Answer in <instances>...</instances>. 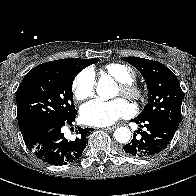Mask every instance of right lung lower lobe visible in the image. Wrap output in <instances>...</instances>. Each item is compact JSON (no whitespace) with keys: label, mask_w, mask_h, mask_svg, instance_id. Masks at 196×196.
Instances as JSON below:
<instances>
[{"label":"right lung lower lobe","mask_w":196,"mask_h":196,"mask_svg":"<svg viewBox=\"0 0 196 196\" xmlns=\"http://www.w3.org/2000/svg\"><path fill=\"white\" fill-rule=\"evenodd\" d=\"M75 115L67 120L38 122L21 130L27 148L43 162L55 166L77 160L86 148V136L93 129L78 127L75 140L65 139L61 128L75 121Z\"/></svg>","instance_id":"98d812e1"}]
</instances>
